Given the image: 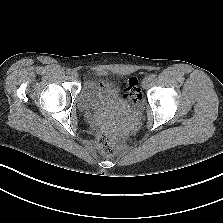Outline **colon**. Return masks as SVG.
<instances>
[{"label": "colon", "instance_id": "5ec220e1", "mask_svg": "<svg viewBox=\"0 0 223 223\" xmlns=\"http://www.w3.org/2000/svg\"><path fill=\"white\" fill-rule=\"evenodd\" d=\"M124 96L127 100L133 103L140 101L141 93L136 78L129 79ZM99 145L102 153L105 155H113L116 151V146L108 133H105V135L100 140Z\"/></svg>", "mask_w": 223, "mask_h": 223}]
</instances>
